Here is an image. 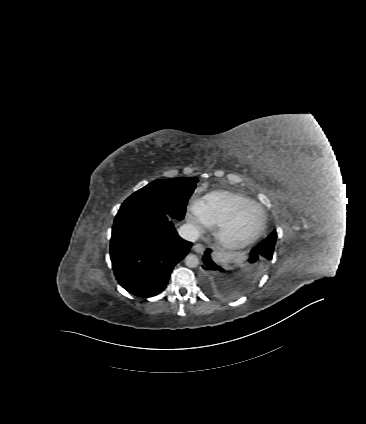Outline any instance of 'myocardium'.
<instances>
[{
  "mask_svg": "<svg viewBox=\"0 0 366 424\" xmlns=\"http://www.w3.org/2000/svg\"><path fill=\"white\" fill-rule=\"evenodd\" d=\"M249 208H256L260 213L259 227L250 237L244 239H235L230 236V231L240 218V216ZM266 228V215L263 209L256 203H247L238 207L226 220L217 225L214 229V239L219 247L225 250H240L254 244L263 234Z\"/></svg>",
  "mask_w": 366,
  "mask_h": 424,
  "instance_id": "myocardium-1",
  "label": "myocardium"
}]
</instances>
